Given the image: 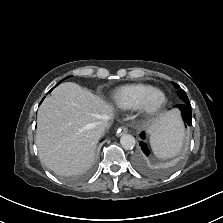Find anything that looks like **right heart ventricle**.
<instances>
[{"label": "right heart ventricle", "instance_id": "1", "mask_svg": "<svg viewBox=\"0 0 223 223\" xmlns=\"http://www.w3.org/2000/svg\"><path fill=\"white\" fill-rule=\"evenodd\" d=\"M153 88L149 84L131 83L118 87L112 93V102L122 110L137 108L144 94Z\"/></svg>", "mask_w": 223, "mask_h": 223}]
</instances>
